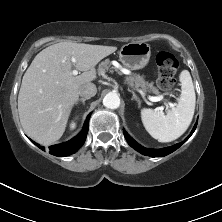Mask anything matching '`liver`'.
<instances>
[{
	"label": "liver",
	"instance_id": "1",
	"mask_svg": "<svg viewBox=\"0 0 222 222\" xmlns=\"http://www.w3.org/2000/svg\"><path fill=\"white\" fill-rule=\"evenodd\" d=\"M115 46L60 42L39 52L26 70L18 95V112L24 132L49 145L65 132L80 88L96 79L95 66L115 52ZM76 62L72 64L71 59ZM81 71L72 74V67Z\"/></svg>",
	"mask_w": 222,
	"mask_h": 222
}]
</instances>
